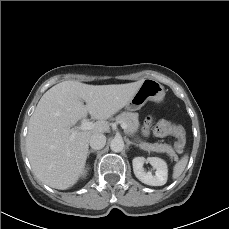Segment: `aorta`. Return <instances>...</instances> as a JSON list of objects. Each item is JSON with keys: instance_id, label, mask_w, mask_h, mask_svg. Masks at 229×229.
I'll list each match as a JSON object with an SVG mask.
<instances>
[{"instance_id": "aorta-1", "label": "aorta", "mask_w": 229, "mask_h": 229, "mask_svg": "<svg viewBox=\"0 0 229 229\" xmlns=\"http://www.w3.org/2000/svg\"><path fill=\"white\" fill-rule=\"evenodd\" d=\"M110 148L113 152H121L124 149V141L121 138H114L110 142Z\"/></svg>"}]
</instances>
